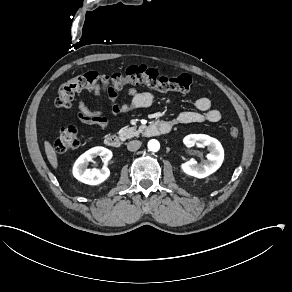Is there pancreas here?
<instances>
[{
	"instance_id": "cf45deb5",
	"label": "pancreas",
	"mask_w": 292,
	"mask_h": 292,
	"mask_svg": "<svg viewBox=\"0 0 292 292\" xmlns=\"http://www.w3.org/2000/svg\"><path fill=\"white\" fill-rule=\"evenodd\" d=\"M120 138H131L133 136H137L139 131L136 130V127H123L118 132Z\"/></svg>"
}]
</instances>
